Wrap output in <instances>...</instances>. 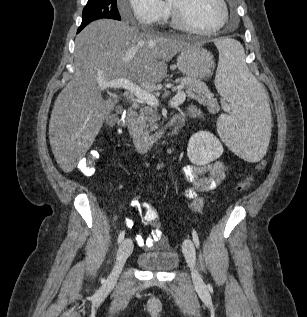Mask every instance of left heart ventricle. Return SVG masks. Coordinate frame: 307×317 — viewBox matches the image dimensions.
<instances>
[{
  "mask_svg": "<svg viewBox=\"0 0 307 317\" xmlns=\"http://www.w3.org/2000/svg\"><path fill=\"white\" fill-rule=\"evenodd\" d=\"M183 9L188 22L200 29L214 28L221 20L222 9L218 0H170Z\"/></svg>",
  "mask_w": 307,
  "mask_h": 317,
  "instance_id": "b2bd125f",
  "label": "left heart ventricle"
}]
</instances>
